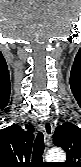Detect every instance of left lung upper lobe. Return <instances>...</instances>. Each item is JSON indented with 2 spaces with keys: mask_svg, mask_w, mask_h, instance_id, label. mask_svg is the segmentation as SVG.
Wrapping results in <instances>:
<instances>
[{
  "mask_svg": "<svg viewBox=\"0 0 81 167\" xmlns=\"http://www.w3.org/2000/svg\"><path fill=\"white\" fill-rule=\"evenodd\" d=\"M53 142L63 148L67 153V161L62 167H81V129L76 125L66 122L58 126Z\"/></svg>",
  "mask_w": 81,
  "mask_h": 167,
  "instance_id": "left-lung-upper-lobe-1",
  "label": "left lung upper lobe"
}]
</instances>
